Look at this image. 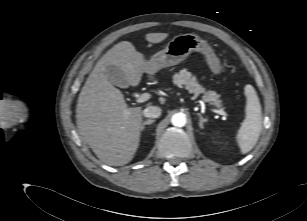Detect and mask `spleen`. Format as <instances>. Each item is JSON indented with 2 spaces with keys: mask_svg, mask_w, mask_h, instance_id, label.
Masks as SVG:
<instances>
[{
  "mask_svg": "<svg viewBox=\"0 0 307 221\" xmlns=\"http://www.w3.org/2000/svg\"><path fill=\"white\" fill-rule=\"evenodd\" d=\"M244 90L247 98L246 118L236 136L242 154L255 147L262 130V110L257 93L251 85H246Z\"/></svg>",
  "mask_w": 307,
  "mask_h": 221,
  "instance_id": "1",
  "label": "spleen"
}]
</instances>
